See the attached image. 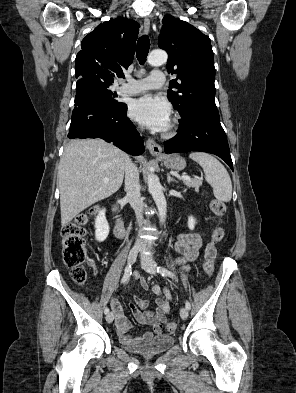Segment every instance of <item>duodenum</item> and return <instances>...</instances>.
Returning a JSON list of instances; mask_svg holds the SVG:
<instances>
[{
	"mask_svg": "<svg viewBox=\"0 0 296 393\" xmlns=\"http://www.w3.org/2000/svg\"><path fill=\"white\" fill-rule=\"evenodd\" d=\"M112 212L114 215V235L117 239H123L126 237L128 229L124 219L120 215L119 197L113 202Z\"/></svg>",
	"mask_w": 296,
	"mask_h": 393,
	"instance_id": "duodenum-1",
	"label": "duodenum"
}]
</instances>
